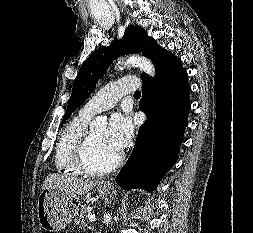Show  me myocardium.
I'll return each instance as SVG.
<instances>
[{
    "label": "myocardium",
    "mask_w": 253,
    "mask_h": 233,
    "mask_svg": "<svg viewBox=\"0 0 253 233\" xmlns=\"http://www.w3.org/2000/svg\"><path fill=\"white\" fill-rule=\"evenodd\" d=\"M92 148V134L87 132L77 147L75 154V163L77 167L86 174L100 175L108 173L117 168L123 160V154H118L110 162L97 166L90 159V151Z\"/></svg>",
    "instance_id": "obj_1"
}]
</instances>
